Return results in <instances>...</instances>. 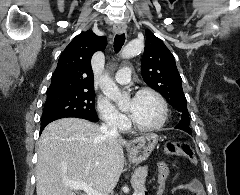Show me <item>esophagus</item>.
Masks as SVG:
<instances>
[{"instance_id":"34e87169","label":"esophagus","mask_w":240,"mask_h":195,"mask_svg":"<svg viewBox=\"0 0 240 195\" xmlns=\"http://www.w3.org/2000/svg\"><path fill=\"white\" fill-rule=\"evenodd\" d=\"M127 25L126 24H122V25H115L113 27V32L119 34H122L126 31Z\"/></svg>"}]
</instances>
